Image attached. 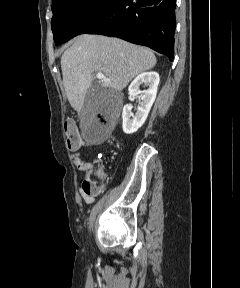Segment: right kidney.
<instances>
[{"label": "right kidney", "instance_id": "ca27d5eb", "mask_svg": "<svg viewBox=\"0 0 240 288\" xmlns=\"http://www.w3.org/2000/svg\"><path fill=\"white\" fill-rule=\"evenodd\" d=\"M159 81V74L154 71L141 73L132 81L129 86V92L131 94H141L139 89L141 85H147L148 89L143 91L141 96L142 102H140L135 115L132 114V105L127 104L123 107L122 126L124 133L132 134L144 124L151 106L155 101Z\"/></svg>", "mask_w": 240, "mask_h": 288}]
</instances>
